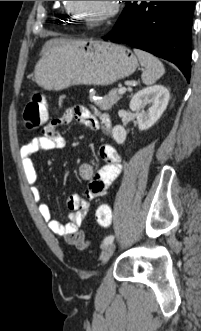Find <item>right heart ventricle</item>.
<instances>
[{
    "mask_svg": "<svg viewBox=\"0 0 201 331\" xmlns=\"http://www.w3.org/2000/svg\"><path fill=\"white\" fill-rule=\"evenodd\" d=\"M64 6L66 7V1H65V5H64ZM66 12H67V16H68L70 19L74 18V13H73L72 10H67V8H66Z\"/></svg>",
    "mask_w": 201,
    "mask_h": 331,
    "instance_id": "obj_1",
    "label": "right heart ventricle"
}]
</instances>
